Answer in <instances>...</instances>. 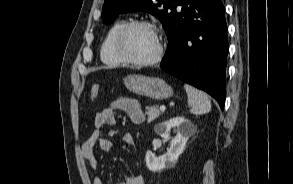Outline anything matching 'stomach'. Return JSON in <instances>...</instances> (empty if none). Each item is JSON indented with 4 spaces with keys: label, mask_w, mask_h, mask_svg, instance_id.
I'll use <instances>...</instances> for the list:
<instances>
[{
    "label": "stomach",
    "mask_w": 293,
    "mask_h": 184,
    "mask_svg": "<svg viewBox=\"0 0 293 184\" xmlns=\"http://www.w3.org/2000/svg\"><path fill=\"white\" fill-rule=\"evenodd\" d=\"M123 81L129 91L152 99L162 100L173 95L172 88L160 78L132 74Z\"/></svg>",
    "instance_id": "0dacf381"
}]
</instances>
